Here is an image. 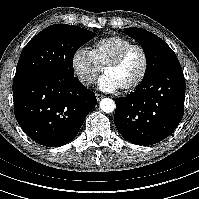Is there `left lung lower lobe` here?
Segmentation results:
<instances>
[{"instance_id":"1","label":"left lung lower lobe","mask_w":199,"mask_h":199,"mask_svg":"<svg viewBox=\"0 0 199 199\" xmlns=\"http://www.w3.org/2000/svg\"><path fill=\"white\" fill-rule=\"evenodd\" d=\"M185 80L179 62L142 81L126 97L116 99L114 123L131 143L152 145L168 137L184 114Z\"/></svg>"}]
</instances>
